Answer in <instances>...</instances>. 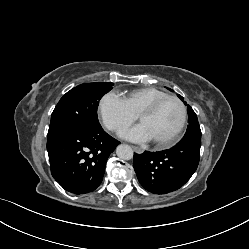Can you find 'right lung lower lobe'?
I'll return each instance as SVG.
<instances>
[{"mask_svg":"<svg viewBox=\"0 0 249 249\" xmlns=\"http://www.w3.org/2000/svg\"><path fill=\"white\" fill-rule=\"evenodd\" d=\"M119 143L102 128L72 131L47 140L52 176L68 192H91L100 185L107 159Z\"/></svg>","mask_w":249,"mask_h":249,"instance_id":"98d812e1","label":"right lung lower lobe"}]
</instances>
